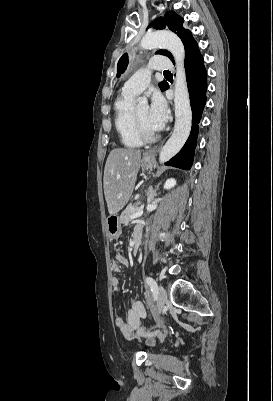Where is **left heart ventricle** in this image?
Returning a JSON list of instances; mask_svg holds the SVG:
<instances>
[{
    "instance_id": "1",
    "label": "left heart ventricle",
    "mask_w": 273,
    "mask_h": 401,
    "mask_svg": "<svg viewBox=\"0 0 273 401\" xmlns=\"http://www.w3.org/2000/svg\"><path fill=\"white\" fill-rule=\"evenodd\" d=\"M138 119L140 120L141 124L149 131H154L148 121V109L147 107H141L135 111Z\"/></svg>"
}]
</instances>
